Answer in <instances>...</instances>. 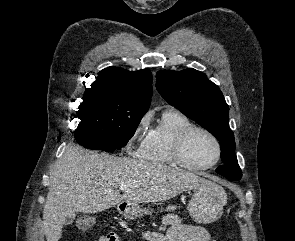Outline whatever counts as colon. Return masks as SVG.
<instances>
[{"label":"colon","instance_id":"5ec220e1","mask_svg":"<svg viewBox=\"0 0 295 241\" xmlns=\"http://www.w3.org/2000/svg\"><path fill=\"white\" fill-rule=\"evenodd\" d=\"M86 221H87V226H88V227H91V226L94 225V220H93V218H87ZM108 236H109V235H108Z\"/></svg>","mask_w":295,"mask_h":241}]
</instances>
